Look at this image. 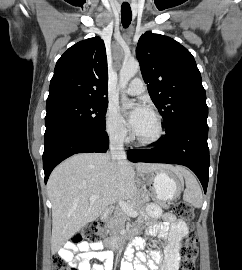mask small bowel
I'll list each match as a JSON object with an SVG mask.
<instances>
[{"label": "small bowel", "mask_w": 242, "mask_h": 270, "mask_svg": "<svg viewBox=\"0 0 242 270\" xmlns=\"http://www.w3.org/2000/svg\"><path fill=\"white\" fill-rule=\"evenodd\" d=\"M157 218H161V221L152 227L151 234L157 235L164 242L163 253L151 251L148 257L144 252H138L134 266L131 264L132 256L129 255L125 270H158L159 264L163 265L164 270L178 269L181 240L187 234L188 227L184 221L178 220L173 214H162L157 205L148 207L147 216L142 218L139 224L145 220L151 221ZM134 245L141 248L144 246V241L137 239ZM103 247L101 241L80 244L68 242L59 250V254L77 270H112L113 253L109 250H103ZM93 259L103 263H91Z\"/></svg>", "instance_id": "c3829d8e"}]
</instances>
